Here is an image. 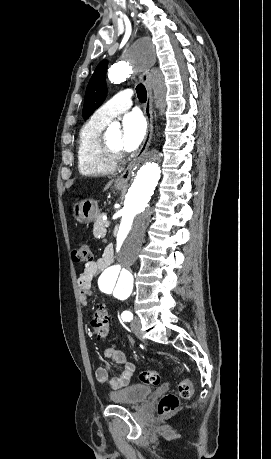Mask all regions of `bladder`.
<instances>
[{
	"label": "bladder",
	"instance_id": "1",
	"mask_svg": "<svg viewBox=\"0 0 271 459\" xmlns=\"http://www.w3.org/2000/svg\"><path fill=\"white\" fill-rule=\"evenodd\" d=\"M152 393V385H131L109 393V398L117 404L136 405L145 401Z\"/></svg>",
	"mask_w": 271,
	"mask_h": 459
}]
</instances>
